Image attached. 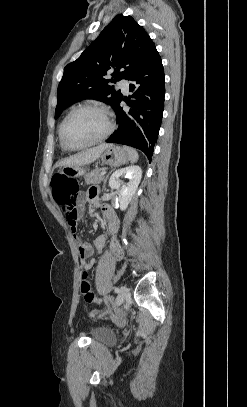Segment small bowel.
<instances>
[{
	"mask_svg": "<svg viewBox=\"0 0 247 407\" xmlns=\"http://www.w3.org/2000/svg\"><path fill=\"white\" fill-rule=\"evenodd\" d=\"M97 195V189L91 187L87 192L76 194L71 199L63 203H59L62 209V213L66 218L67 224L69 225L74 238L77 241H79V238L77 236V223L84 212V203L86 201H89L91 204L96 205ZM100 209L107 229L112 236L110 244L111 248L118 252V254H120L119 244L116 238L119 230L118 218L110 205L103 204ZM93 246L98 252L103 251V249L106 247V237L104 235H99L98 237H96L93 242ZM92 251L93 247L91 244L80 243L79 255L81 259V266L85 270L91 269L95 264V261L93 259H90Z\"/></svg>",
	"mask_w": 247,
	"mask_h": 407,
	"instance_id": "obj_1",
	"label": "small bowel"
}]
</instances>
